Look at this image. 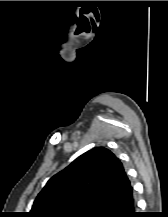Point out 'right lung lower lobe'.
Returning <instances> with one entry per match:
<instances>
[{
	"label": "right lung lower lobe",
	"instance_id": "obj_1",
	"mask_svg": "<svg viewBox=\"0 0 168 217\" xmlns=\"http://www.w3.org/2000/svg\"><path fill=\"white\" fill-rule=\"evenodd\" d=\"M135 200L132 196L123 203L115 206L101 217H141L140 213L135 211Z\"/></svg>",
	"mask_w": 168,
	"mask_h": 217
}]
</instances>
